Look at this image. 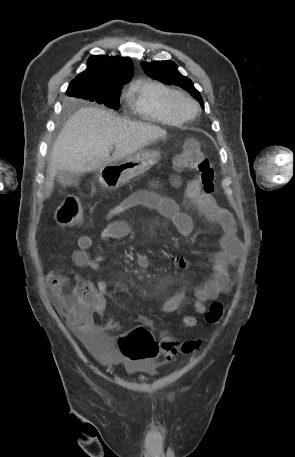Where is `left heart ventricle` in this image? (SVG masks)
Returning <instances> with one entry per match:
<instances>
[{
  "instance_id": "obj_1",
  "label": "left heart ventricle",
  "mask_w": 295,
  "mask_h": 457,
  "mask_svg": "<svg viewBox=\"0 0 295 457\" xmlns=\"http://www.w3.org/2000/svg\"><path fill=\"white\" fill-rule=\"evenodd\" d=\"M180 107L184 112H190L192 110V106L187 102H182Z\"/></svg>"
}]
</instances>
